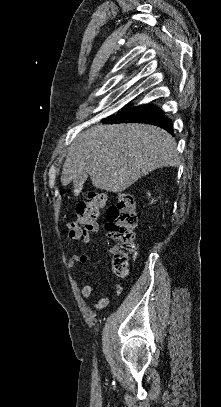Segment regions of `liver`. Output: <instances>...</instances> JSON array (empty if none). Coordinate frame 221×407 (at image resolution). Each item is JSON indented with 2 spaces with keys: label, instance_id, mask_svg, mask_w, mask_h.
<instances>
[{
  "label": "liver",
  "instance_id": "1",
  "mask_svg": "<svg viewBox=\"0 0 221 407\" xmlns=\"http://www.w3.org/2000/svg\"><path fill=\"white\" fill-rule=\"evenodd\" d=\"M175 139L147 124L96 125L80 133L69 147L61 183L90 175L94 187L121 193L143 175L179 165Z\"/></svg>",
  "mask_w": 221,
  "mask_h": 407
}]
</instances>
